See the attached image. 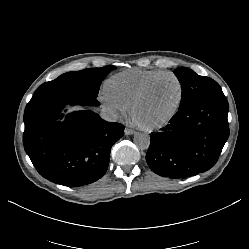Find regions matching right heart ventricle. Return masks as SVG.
<instances>
[{"mask_svg": "<svg viewBox=\"0 0 249 249\" xmlns=\"http://www.w3.org/2000/svg\"><path fill=\"white\" fill-rule=\"evenodd\" d=\"M163 72L165 70L162 69L132 68L124 70L109 77L105 81L104 88L112 97L129 106L131 100L143 85L154 76Z\"/></svg>", "mask_w": 249, "mask_h": 249, "instance_id": "obj_1", "label": "right heart ventricle"}]
</instances>
